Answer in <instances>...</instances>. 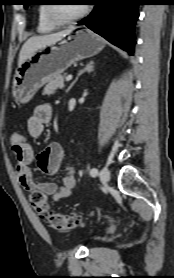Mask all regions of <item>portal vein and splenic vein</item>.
Listing matches in <instances>:
<instances>
[{"label":"portal vein and splenic vein","instance_id":"portal-vein-and-splenic-vein-1","mask_svg":"<svg viewBox=\"0 0 174 278\" xmlns=\"http://www.w3.org/2000/svg\"><path fill=\"white\" fill-rule=\"evenodd\" d=\"M72 79V75H68L67 77H66V81L68 82V81H70Z\"/></svg>","mask_w":174,"mask_h":278}]
</instances>
